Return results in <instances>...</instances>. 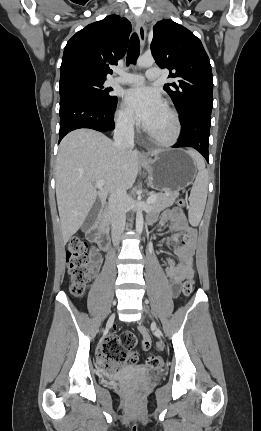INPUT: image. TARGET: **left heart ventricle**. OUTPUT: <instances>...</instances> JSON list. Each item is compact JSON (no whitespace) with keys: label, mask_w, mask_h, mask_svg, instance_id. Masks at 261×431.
Instances as JSON below:
<instances>
[{"label":"left heart ventricle","mask_w":261,"mask_h":431,"mask_svg":"<svg viewBox=\"0 0 261 431\" xmlns=\"http://www.w3.org/2000/svg\"><path fill=\"white\" fill-rule=\"evenodd\" d=\"M173 128L174 125L172 118L164 108L147 129L150 130L156 136L165 138L172 134Z\"/></svg>","instance_id":"obj_1"}]
</instances>
